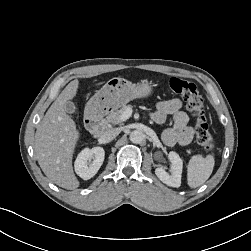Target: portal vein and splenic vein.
Masks as SVG:
<instances>
[{"label": "portal vein and splenic vein", "mask_w": 251, "mask_h": 251, "mask_svg": "<svg viewBox=\"0 0 251 251\" xmlns=\"http://www.w3.org/2000/svg\"><path fill=\"white\" fill-rule=\"evenodd\" d=\"M131 115H132V109H127L121 115V120L126 121L127 119H129L131 117Z\"/></svg>", "instance_id": "18ae733b"}]
</instances>
